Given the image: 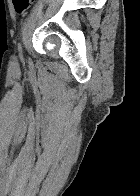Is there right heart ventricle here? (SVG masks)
Returning a JSON list of instances; mask_svg holds the SVG:
<instances>
[{"instance_id":"obj_1","label":"right heart ventricle","mask_w":140,"mask_h":196,"mask_svg":"<svg viewBox=\"0 0 140 196\" xmlns=\"http://www.w3.org/2000/svg\"><path fill=\"white\" fill-rule=\"evenodd\" d=\"M26 192H35V191H26Z\"/></svg>"}]
</instances>
